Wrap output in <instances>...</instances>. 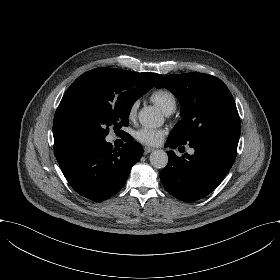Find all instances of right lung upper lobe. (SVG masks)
Listing matches in <instances>:
<instances>
[{
	"instance_id": "obj_1",
	"label": "right lung upper lobe",
	"mask_w": 280,
	"mask_h": 280,
	"mask_svg": "<svg viewBox=\"0 0 280 280\" xmlns=\"http://www.w3.org/2000/svg\"><path fill=\"white\" fill-rule=\"evenodd\" d=\"M123 78L128 83L131 90H134L137 95H143L151 89L161 78L162 75L156 73H137L126 70H120ZM53 136H54V152L60 150L69 144L80 141V139L64 128L60 122L58 112L55 113L53 122Z\"/></svg>"
}]
</instances>
